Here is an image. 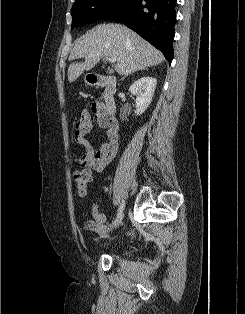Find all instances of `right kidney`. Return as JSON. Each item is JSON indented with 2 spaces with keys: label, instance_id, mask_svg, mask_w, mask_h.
<instances>
[{
  "label": "right kidney",
  "instance_id": "1",
  "mask_svg": "<svg viewBox=\"0 0 245 314\" xmlns=\"http://www.w3.org/2000/svg\"><path fill=\"white\" fill-rule=\"evenodd\" d=\"M157 85V80L153 77H142L135 81L129 91L136 96V115H141L149 107L154 91Z\"/></svg>",
  "mask_w": 245,
  "mask_h": 314
}]
</instances>
